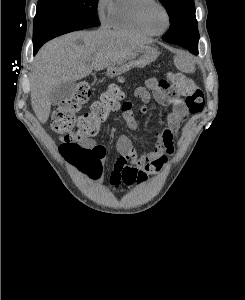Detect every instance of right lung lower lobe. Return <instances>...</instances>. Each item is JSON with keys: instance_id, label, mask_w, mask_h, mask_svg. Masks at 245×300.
Wrapping results in <instances>:
<instances>
[{"instance_id": "obj_1", "label": "right lung lower lobe", "mask_w": 245, "mask_h": 300, "mask_svg": "<svg viewBox=\"0 0 245 300\" xmlns=\"http://www.w3.org/2000/svg\"><path fill=\"white\" fill-rule=\"evenodd\" d=\"M42 45H43V44H42ZM42 45H41V46H42ZM41 46H35V47H34V54L39 50V48H40Z\"/></svg>"}]
</instances>
